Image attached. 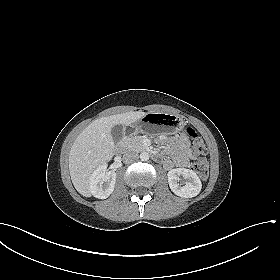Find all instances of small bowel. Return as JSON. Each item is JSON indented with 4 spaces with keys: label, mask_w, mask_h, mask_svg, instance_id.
Returning <instances> with one entry per match:
<instances>
[{
    "label": "small bowel",
    "mask_w": 280,
    "mask_h": 280,
    "mask_svg": "<svg viewBox=\"0 0 280 280\" xmlns=\"http://www.w3.org/2000/svg\"><path fill=\"white\" fill-rule=\"evenodd\" d=\"M167 152L170 157L163 160V165L168 170L188 167L195 158L190 150V144L185 133H182L177 140L171 142Z\"/></svg>",
    "instance_id": "obj_1"
}]
</instances>
